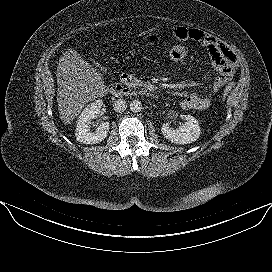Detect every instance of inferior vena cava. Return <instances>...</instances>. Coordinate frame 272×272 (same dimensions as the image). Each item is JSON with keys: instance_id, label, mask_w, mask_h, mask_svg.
Returning a JSON list of instances; mask_svg holds the SVG:
<instances>
[{"instance_id": "602c4592", "label": "inferior vena cava", "mask_w": 272, "mask_h": 272, "mask_svg": "<svg viewBox=\"0 0 272 272\" xmlns=\"http://www.w3.org/2000/svg\"><path fill=\"white\" fill-rule=\"evenodd\" d=\"M127 108V103L124 99H117L113 104V109L116 112H124Z\"/></svg>"}]
</instances>
